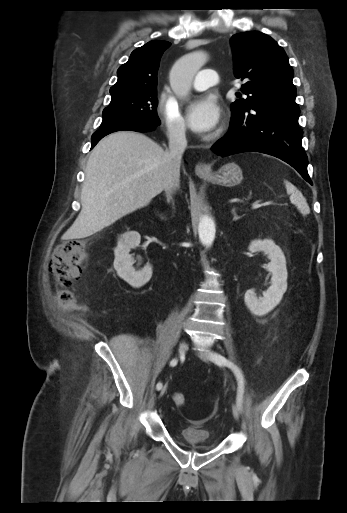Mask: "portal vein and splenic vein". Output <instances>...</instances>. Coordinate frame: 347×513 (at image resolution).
Wrapping results in <instances>:
<instances>
[{
  "label": "portal vein and splenic vein",
  "instance_id": "obj_1",
  "mask_svg": "<svg viewBox=\"0 0 347 513\" xmlns=\"http://www.w3.org/2000/svg\"><path fill=\"white\" fill-rule=\"evenodd\" d=\"M271 204H273L271 201H268V202H265V203H261V204H255L254 206H252V209L253 210H257V209H259L263 205H271Z\"/></svg>",
  "mask_w": 347,
  "mask_h": 513
}]
</instances>
